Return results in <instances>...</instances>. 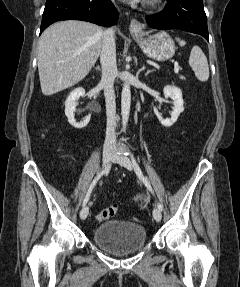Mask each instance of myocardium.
I'll return each instance as SVG.
<instances>
[{
  "label": "myocardium",
  "mask_w": 240,
  "mask_h": 287,
  "mask_svg": "<svg viewBox=\"0 0 240 287\" xmlns=\"http://www.w3.org/2000/svg\"><path fill=\"white\" fill-rule=\"evenodd\" d=\"M160 0H147L146 3L149 6H154L155 4H157Z\"/></svg>",
  "instance_id": "myocardium-1"
}]
</instances>
